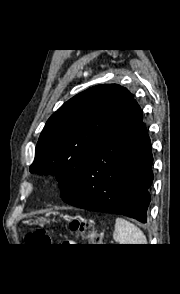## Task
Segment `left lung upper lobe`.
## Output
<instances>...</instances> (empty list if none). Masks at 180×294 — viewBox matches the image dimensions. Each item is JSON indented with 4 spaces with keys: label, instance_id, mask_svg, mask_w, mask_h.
Here are the masks:
<instances>
[{
    "label": "left lung upper lobe",
    "instance_id": "5c2ea615",
    "mask_svg": "<svg viewBox=\"0 0 180 294\" xmlns=\"http://www.w3.org/2000/svg\"><path fill=\"white\" fill-rule=\"evenodd\" d=\"M134 101L117 84L97 85L68 100L43 128L30 172L54 174L61 197L72 194L92 156Z\"/></svg>",
    "mask_w": 180,
    "mask_h": 294
}]
</instances>
